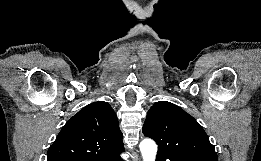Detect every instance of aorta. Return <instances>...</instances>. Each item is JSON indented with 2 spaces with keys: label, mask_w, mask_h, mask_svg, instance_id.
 Here are the masks:
<instances>
[{
  "label": "aorta",
  "mask_w": 261,
  "mask_h": 161,
  "mask_svg": "<svg viewBox=\"0 0 261 161\" xmlns=\"http://www.w3.org/2000/svg\"><path fill=\"white\" fill-rule=\"evenodd\" d=\"M139 147L143 161H155L157 145L152 139L146 138L142 140Z\"/></svg>",
  "instance_id": "1"
}]
</instances>
